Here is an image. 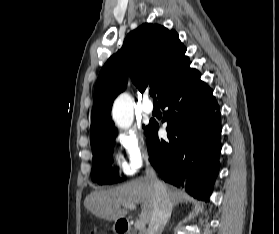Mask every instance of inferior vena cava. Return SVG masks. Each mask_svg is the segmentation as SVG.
Here are the masks:
<instances>
[{"label": "inferior vena cava", "mask_w": 279, "mask_h": 234, "mask_svg": "<svg viewBox=\"0 0 279 234\" xmlns=\"http://www.w3.org/2000/svg\"><path fill=\"white\" fill-rule=\"evenodd\" d=\"M146 178L154 188L153 214L145 234H161L172 212V202L166 186L158 180L155 171L146 169Z\"/></svg>", "instance_id": "1"}]
</instances>
